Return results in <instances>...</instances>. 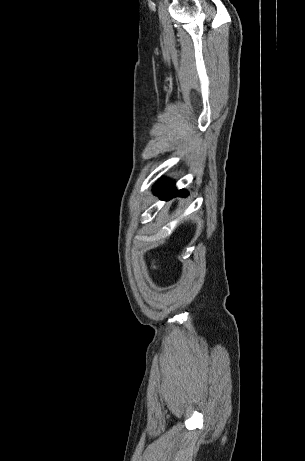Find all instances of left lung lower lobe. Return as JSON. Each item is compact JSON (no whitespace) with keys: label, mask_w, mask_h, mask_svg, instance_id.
<instances>
[{"label":"left lung lower lobe","mask_w":305,"mask_h":461,"mask_svg":"<svg viewBox=\"0 0 305 461\" xmlns=\"http://www.w3.org/2000/svg\"><path fill=\"white\" fill-rule=\"evenodd\" d=\"M154 192L155 194H158V196L165 197L167 199H170L174 196H186L187 195L186 191L184 190L177 191L174 188V184L171 181L165 180V179H162L155 184Z\"/></svg>","instance_id":"left-lung-lower-lobe-1"}]
</instances>
